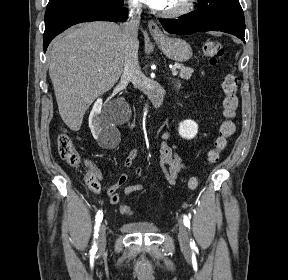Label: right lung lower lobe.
Returning <instances> with one entry per match:
<instances>
[{
  "label": "right lung lower lobe",
  "mask_w": 288,
  "mask_h": 280,
  "mask_svg": "<svg viewBox=\"0 0 288 280\" xmlns=\"http://www.w3.org/2000/svg\"><path fill=\"white\" fill-rule=\"evenodd\" d=\"M123 3L108 0H56L49 2L45 13L43 48L68 27L87 21H124L127 18Z\"/></svg>",
  "instance_id": "right-lung-lower-lobe-1"
}]
</instances>
